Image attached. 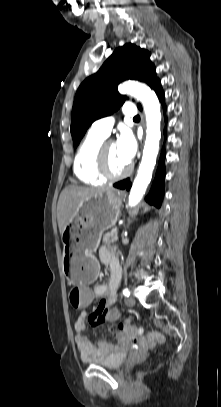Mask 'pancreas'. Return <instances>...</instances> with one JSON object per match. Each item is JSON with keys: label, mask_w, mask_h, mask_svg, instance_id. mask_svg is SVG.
<instances>
[{"label": "pancreas", "mask_w": 221, "mask_h": 407, "mask_svg": "<svg viewBox=\"0 0 221 407\" xmlns=\"http://www.w3.org/2000/svg\"><path fill=\"white\" fill-rule=\"evenodd\" d=\"M118 240V232L112 230L111 232H108L104 234L102 242L106 246H110L111 244L115 243Z\"/></svg>", "instance_id": "1"}]
</instances>
